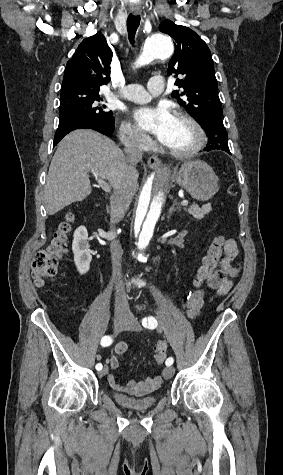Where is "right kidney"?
Segmentation results:
<instances>
[{"label":"right kidney","mask_w":283,"mask_h":475,"mask_svg":"<svg viewBox=\"0 0 283 475\" xmlns=\"http://www.w3.org/2000/svg\"><path fill=\"white\" fill-rule=\"evenodd\" d=\"M88 239V232L85 226L76 228L72 241V249L75 265L81 275L89 271L90 261H92Z\"/></svg>","instance_id":"ca27d5eb"}]
</instances>
